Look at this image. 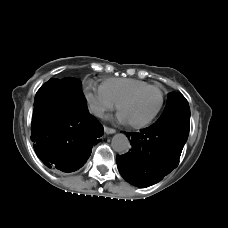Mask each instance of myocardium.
<instances>
[{"mask_svg": "<svg viewBox=\"0 0 228 228\" xmlns=\"http://www.w3.org/2000/svg\"><path fill=\"white\" fill-rule=\"evenodd\" d=\"M150 90H155L159 93L160 95V100H159V103L157 105V108L155 109V111L147 118L145 119L144 121H141V122H129V125L133 128H142V127H145L147 126L149 123H151L154 118L158 115L162 105H163V102H164V95H163V92L156 86H149V87H146L144 89H140V90H137L133 93H130L128 94L127 96H125L122 100H120V102L117 104V108L120 112L121 109H122V106L129 100H131L132 98L144 93V92H147V91H150Z\"/></svg>", "mask_w": 228, "mask_h": 228, "instance_id": "myocardium-1", "label": "myocardium"}]
</instances>
